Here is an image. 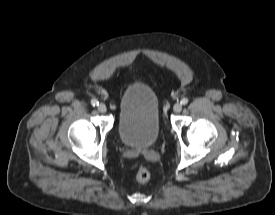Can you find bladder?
<instances>
[{"label": "bladder", "instance_id": "bladder-1", "mask_svg": "<svg viewBox=\"0 0 275 215\" xmlns=\"http://www.w3.org/2000/svg\"><path fill=\"white\" fill-rule=\"evenodd\" d=\"M159 103L146 84H130L123 92L118 108V134L129 147L147 148L159 136Z\"/></svg>", "mask_w": 275, "mask_h": 215}]
</instances>
